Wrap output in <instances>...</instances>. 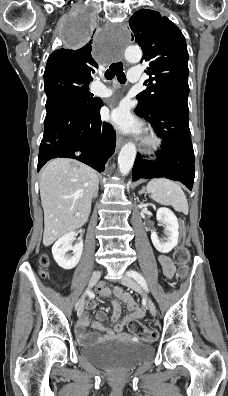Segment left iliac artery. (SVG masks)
Returning a JSON list of instances; mask_svg holds the SVG:
<instances>
[{"instance_id": "44dca946", "label": "left iliac artery", "mask_w": 228, "mask_h": 396, "mask_svg": "<svg viewBox=\"0 0 228 396\" xmlns=\"http://www.w3.org/2000/svg\"><path fill=\"white\" fill-rule=\"evenodd\" d=\"M128 275L130 277L134 278L145 291H148V284H147L145 278L139 272L129 271Z\"/></svg>"}]
</instances>
